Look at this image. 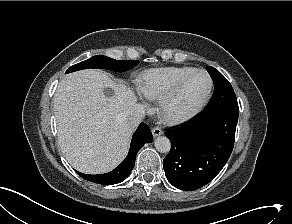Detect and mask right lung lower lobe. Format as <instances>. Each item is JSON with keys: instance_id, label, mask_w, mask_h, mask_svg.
Segmentation results:
<instances>
[{"instance_id": "right-lung-lower-lobe-1", "label": "right lung lower lobe", "mask_w": 292, "mask_h": 224, "mask_svg": "<svg viewBox=\"0 0 292 224\" xmlns=\"http://www.w3.org/2000/svg\"><path fill=\"white\" fill-rule=\"evenodd\" d=\"M153 141L150 128L145 123H141L133 134L130 150L126 159L114 170L105 174L88 175L76 171L85 180L102 185H111L122 182L132 171L136 154L145 143Z\"/></svg>"}]
</instances>
